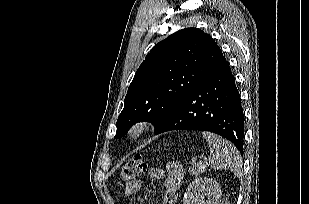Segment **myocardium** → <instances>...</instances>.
Wrapping results in <instances>:
<instances>
[{
    "label": "myocardium",
    "instance_id": "obj_1",
    "mask_svg": "<svg viewBox=\"0 0 309 204\" xmlns=\"http://www.w3.org/2000/svg\"><path fill=\"white\" fill-rule=\"evenodd\" d=\"M150 128L148 121H140L135 123L129 130V136L132 139H138L142 137Z\"/></svg>",
    "mask_w": 309,
    "mask_h": 204
}]
</instances>
